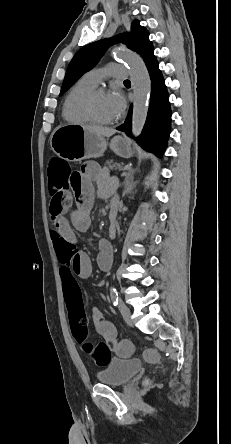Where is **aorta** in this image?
<instances>
[{"label": "aorta", "instance_id": "762f6f07", "mask_svg": "<svg viewBox=\"0 0 231 444\" xmlns=\"http://www.w3.org/2000/svg\"><path fill=\"white\" fill-rule=\"evenodd\" d=\"M116 56L129 66L131 84L134 93L132 113V133L139 136L148 114L151 93V81L142 58L130 51L118 50Z\"/></svg>", "mask_w": 231, "mask_h": 444}]
</instances>
